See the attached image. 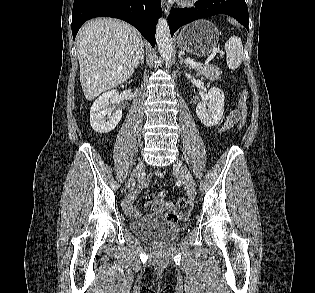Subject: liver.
Listing matches in <instances>:
<instances>
[{
	"mask_svg": "<svg viewBox=\"0 0 315 293\" xmlns=\"http://www.w3.org/2000/svg\"><path fill=\"white\" fill-rule=\"evenodd\" d=\"M76 39L80 82L87 100L127 81L144 52L140 33L118 19H93L81 27Z\"/></svg>",
	"mask_w": 315,
	"mask_h": 293,
	"instance_id": "liver-1",
	"label": "liver"
}]
</instances>
